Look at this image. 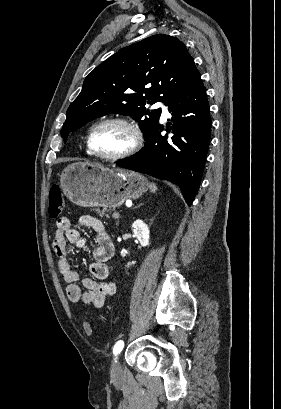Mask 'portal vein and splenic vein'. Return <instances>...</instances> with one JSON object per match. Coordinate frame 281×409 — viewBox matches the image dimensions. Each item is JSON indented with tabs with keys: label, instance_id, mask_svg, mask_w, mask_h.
I'll return each mask as SVG.
<instances>
[{
	"label": "portal vein and splenic vein",
	"instance_id": "obj_1",
	"mask_svg": "<svg viewBox=\"0 0 281 409\" xmlns=\"http://www.w3.org/2000/svg\"><path fill=\"white\" fill-rule=\"evenodd\" d=\"M111 216L114 217V219H118V217L122 216V213L121 212H112Z\"/></svg>",
	"mask_w": 281,
	"mask_h": 409
}]
</instances>
